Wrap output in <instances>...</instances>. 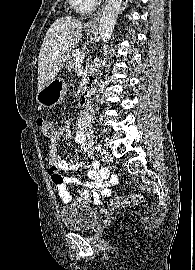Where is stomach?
I'll return each mask as SVG.
<instances>
[{
    "label": "stomach",
    "instance_id": "0dacf381",
    "mask_svg": "<svg viewBox=\"0 0 195 270\" xmlns=\"http://www.w3.org/2000/svg\"><path fill=\"white\" fill-rule=\"evenodd\" d=\"M92 33L93 30H87ZM67 91V84L62 78H55L37 93V101L41 106L53 107L58 104Z\"/></svg>",
    "mask_w": 195,
    "mask_h": 270
}]
</instances>
